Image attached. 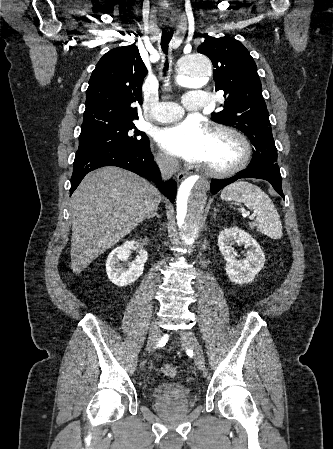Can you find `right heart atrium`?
<instances>
[{
  "instance_id": "d8ad5b80",
  "label": "right heart atrium",
  "mask_w": 333,
  "mask_h": 449,
  "mask_svg": "<svg viewBox=\"0 0 333 449\" xmlns=\"http://www.w3.org/2000/svg\"><path fill=\"white\" fill-rule=\"evenodd\" d=\"M159 166L166 171H174L177 167V161L170 155L159 152L156 156Z\"/></svg>"
}]
</instances>
